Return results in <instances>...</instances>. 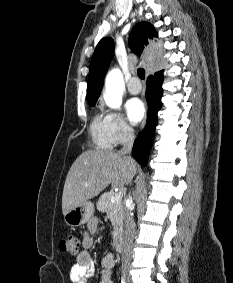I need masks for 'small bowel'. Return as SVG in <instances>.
Returning <instances> with one entry per match:
<instances>
[{
    "mask_svg": "<svg viewBox=\"0 0 233 283\" xmlns=\"http://www.w3.org/2000/svg\"><path fill=\"white\" fill-rule=\"evenodd\" d=\"M97 230V220L91 219L88 224V231L83 235L82 244L84 251L78 254L76 263L71 267L70 279L73 283H87L94 274V262L88 252L94 245L93 235ZM115 264V257L112 253L102 259V271L99 283H113L112 268Z\"/></svg>",
    "mask_w": 233,
    "mask_h": 283,
    "instance_id": "c3829d8e",
    "label": "small bowel"
}]
</instances>
